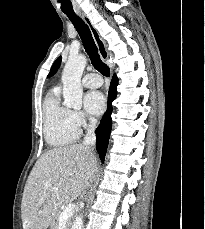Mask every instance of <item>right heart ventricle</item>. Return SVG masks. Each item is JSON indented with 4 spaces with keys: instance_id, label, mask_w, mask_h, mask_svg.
I'll use <instances>...</instances> for the list:
<instances>
[{
    "instance_id": "1",
    "label": "right heart ventricle",
    "mask_w": 205,
    "mask_h": 229,
    "mask_svg": "<svg viewBox=\"0 0 205 229\" xmlns=\"http://www.w3.org/2000/svg\"><path fill=\"white\" fill-rule=\"evenodd\" d=\"M44 137L52 147L72 144L79 136V130L71 119V110L65 107L56 92L47 95L43 104Z\"/></svg>"
}]
</instances>
